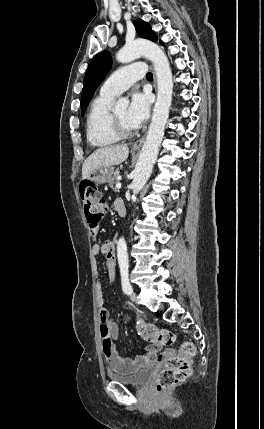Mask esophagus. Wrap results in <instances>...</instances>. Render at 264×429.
Listing matches in <instances>:
<instances>
[{
    "instance_id": "obj_1",
    "label": "esophagus",
    "mask_w": 264,
    "mask_h": 429,
    "mask_svg": "<svg viewBox=\"0 0 264 429\" xmlns=\"http://www.w3.org/2000/svg\"><path fill=\"white\" fill-rule=\"evenodd\" d=\"M154 85L156 87V80H155V75H154ZM145 141V135L143 137H141L139 140H137L136 142L133 143L132 148L133 149H139L141 148V146L143 145Z\"/></svg>"
}]
</instances>
